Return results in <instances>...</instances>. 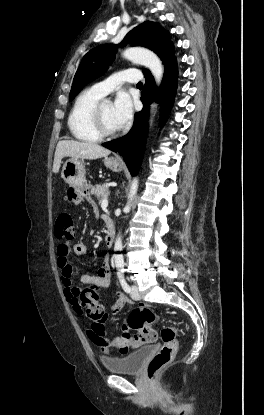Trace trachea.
I'll return each instance as SVG.
<instances>
[{"instance_id": "3493384b", "label": "trachea", "mask_w": 264, "mask_h": 415, "mask_svg": "<svg viewBox=\"0 0 264 415\" xmlns=\"http://www.w3.org/2000/svg\"><path fill=\"white\" fill-rule=\"evenodd\" d=\"M137 86H143V83L142 82H138L137 83Z\"/></svg>"}]
</instances>
